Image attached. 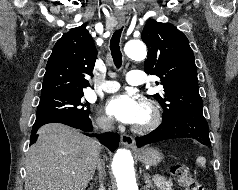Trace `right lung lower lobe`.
Here are the masks:
<instances>
[{
  "label": "right lung lower lobe",
  "mask_w": 238,
  "mask_h": 190,
  "mask_svg": "<svg viewBox=\"0 0 238 190\" xmlns=\"http://www.w3.org/2000/svg\"><path fill=\"white\" fill-rule=\"evenodd\" d=\"M48 123H62L77 129H81L83 131H92V123L89 117H76V118H57V119H49L41 122H35L32 127L30 145L36 142L37 130ZM96 136V135H93ZM100 142L108 147L111 151H114L119 146V136L116 133H104L102 136H99Z\"/></svg>",
  "instance_id": "obj_1"
}]
</instances>
